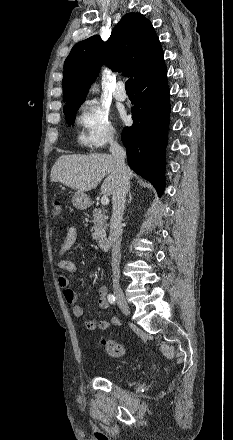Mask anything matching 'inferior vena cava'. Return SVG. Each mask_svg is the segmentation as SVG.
Instances as JSON below:
<instances>
[{"instance_id": "inferior-vena-cava-1", "label": "inferior vena cava", "mask_w": 233, "mask_h": 440, "mask_svg": "<svg viewBox=\"0 0 233 440\" xmlns=\"http://www.w3.org/2000/svg\"><path fill=\"white\" fill-rule=\"evenodd\" d=\"M109 151L116 161V168L118 172L116 186L112 196V217L110 220V234L109 240L112 246V273L113 283L119 282V265L121 260V235H122V219L125 209L126 195L128 193L130 182L127 175L125 165V150L118 144L117 141L110 142Z\"/></svg>"}]
</instances>
